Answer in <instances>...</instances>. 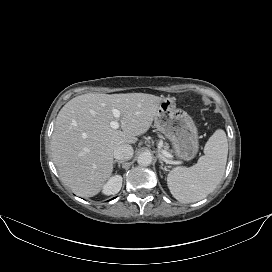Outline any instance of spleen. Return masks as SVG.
I'll list each match as a JSON object with an SVG mask.
<instances>
[{
	"label": "spleen",
	"instance_id": "spleen-1",
	"mask_svg": "<svg viewBox=\"0 0 272 272\" xmlns=\"http://www.w3.org/2000/svg\"><path fill=\"white\" fill-rule=\"evenodd\" d=\"M228 155L227 137L218 129L204 147V155L189 168L176 167L167 176L168 188L175 199L197 202L210 194L221 181Z\"/></svg>",
	"mask_w": 272,
	"mask_h": 272
}]
</instances>
